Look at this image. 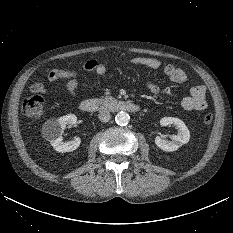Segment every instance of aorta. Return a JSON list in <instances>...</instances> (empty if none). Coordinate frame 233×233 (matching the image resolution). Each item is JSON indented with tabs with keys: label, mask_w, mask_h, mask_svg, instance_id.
Returning a JSON list of instances; mask_svg holds the SVG:
<instances>
[{
	"label": "aorta",
	"mask_w": 233,
	"mask_h": 233,
	"mask_svg": "<svg viewBox=\"0 0 233 233\" xmlns=\"http://www.w3.org/2000/svg\"><path fill=\"white\" fill-rule=\"evenodd\" d=\"M115 121L120 126H126L130 121V116L127 112L120 111L117 113Z\"/></svg>",
	"instance_id": "obj_1"
}]
</instances>
